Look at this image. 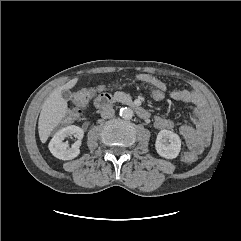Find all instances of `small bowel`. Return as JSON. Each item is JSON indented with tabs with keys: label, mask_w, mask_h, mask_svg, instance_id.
<instances>
[{
	"label": "small bowel",
	"mask_w": 241,
	"mask_h": 241,
	"mask_svg": "<svg viewBox=\"0 0 241 241\" xmlns=\"http://www.w3.org/2000/svg\"><path fill=\"white\" fill-rule=\"evenodd\" d=\"M137 79L150 86H159L167 90V85L160 79L150 74H139ZM172 99L190 104L193 113L189 121L183 123L180 132L192 153L199 154L208 146L211 136V120L207 105L203 97L196 91L175 89L170 92ZM154 126L157 129H170L174 120L165 116H155Z\"/></svg>",
	"instance_id": "obj_1"
}]
</instances>
